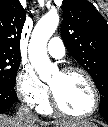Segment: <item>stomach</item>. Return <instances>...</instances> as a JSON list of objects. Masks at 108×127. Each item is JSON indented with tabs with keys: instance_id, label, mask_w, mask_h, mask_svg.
Segmentation results:
<instances>
[{
	"instance_id": "1",
	"label": "stomach",
	"mask_w": 108,
	"mask_h": 127,
	"mask_svg": "<svg viewBox=\"0 0 108 127\" xmlns=\"http://www.w3.org/2000/svg\"><path fill=\"white\" fill-rule=\"evenodd\" d=\"M81 127H97L95 124H91V125H88V126H81Z\"/></svg>"
}]
</instances>
